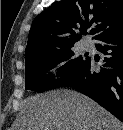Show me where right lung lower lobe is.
Instances as JSON below:
<instances>
[{
	"label": "right lung lower lobe",
	"instance_id": "right-lung-lower-lobe-1",
	"mask_svg": "<svg viewBox=\"0 0 123 130\" xmlns=\"http://www.w3.org/2000/svg\"><path fill=\"white\" fill-rule=\"evenodd\" d=\"M96 40L97 49L105 55L101 70L96 71L95 61L87 57L84 66L62 86L73 87L123 121V25Z\"/></svg>",
	"mask_w": 123,
	"mask_h": 130
}]
</instances>
